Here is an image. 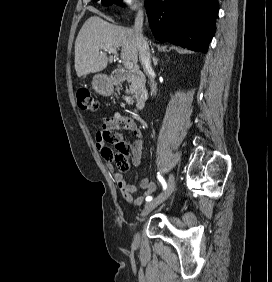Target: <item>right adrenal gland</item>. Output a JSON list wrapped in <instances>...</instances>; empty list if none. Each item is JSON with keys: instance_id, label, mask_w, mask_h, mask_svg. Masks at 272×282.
Returning a JSON list of instances; mask_svg holds the SVG:
<instances>
[{"instance_id": "2a0ac1e0", "label": "right adrenal gland", "mask_w": 272, "mask_h": 282, "mask_svg": "<svg viewBox=\"0 0 272 282\" xmlns=\"http://www.w3.org/2000/svg\"><path fill=\"white\" fill-rule=\"evenodd\" d=\"M152 60H153L154 65L156 66L158 63V59L154 56V50H152Z\"/></svg>"}]
</instances>
